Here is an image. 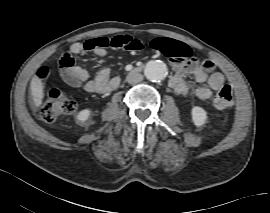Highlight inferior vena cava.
Returning <instances> with one entry per match:
<instances>
[{"instance_id": "inferior-vena-cava-1", "label": "inferior vena cava", "mask_w": 270, "mask_h": 213, "mask_svg": "<svg viewBox=\"0 0 270 213\" xmlns=\"http://www.w3.org/2000/svg\"><path fill=\"white\" fill-rule=\"evenodd\" d=\"M126 80L130 84H135L141 82L143 80V76L138 72L132 71L127 75Z\"/></svg>"}]
</instances>
